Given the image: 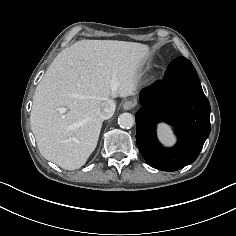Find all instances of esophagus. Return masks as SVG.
Here are the masks:
<instances>
[{
    "mask_svg": "<svg viewBox=\"0 0 236 236\" xmlns=\"http://www.w3.org/2000/svg\"><path fill=\"white\" fill-rule=\"evenodd\" d=\"M136 106V102L135 101H126L123 104V109L124 110H131L132 108H134Z\"/></svg>",
    "mask_w": 236,
    "mask_h": 236,
    "instance_id": "1",
    "label": "esophagus"
}]
</instances>
